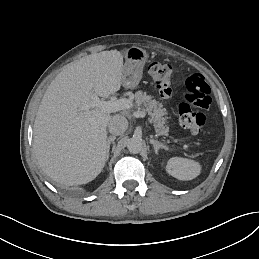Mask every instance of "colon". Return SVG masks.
<instances>
[{
    "instance_id": "5ec220e1",
    "label": "colon",
    "mask_w": 259,
    "mask_h": 259,
    "mask_svg": "<svg viewBox=\"0 0 259 259\" xmlns=\"http://www.w3.org/2000/svg\"><path fill=\"white\" fill-rule=\"evenodd\" d=\"M149 74L162 97L172 95V67L155 62L149 67ZM186 101L178 106L179 123L192 134H200L205 126L204 111L211 106L210 86L202 73L194 72L185 81Z\"/></svg>"
}]
</instances>
